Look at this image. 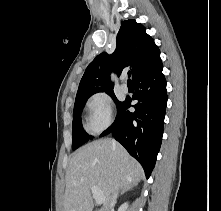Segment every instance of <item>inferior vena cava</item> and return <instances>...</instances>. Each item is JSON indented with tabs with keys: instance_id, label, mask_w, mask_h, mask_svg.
I'll return each instance as SVG.
<instances>
[{
	"instance_id": "inferior-vena-cava-1",
	"label": "inferior vena cava",
	"mask_w": 221,
	"mask_h": 211,
	"mask_svg": "<svg viewBox=\"0 0 221 211\" xmlns=\"http://www.w3.org/2000/svg\"><path fill=\"white\" fill-rule=\"evenodd\" d=\"M113 144L115 145V141H113ZM117 195H118L117 192H114V193L112 194V197H111V206L115 203L116 198H117ZM107 211H109V209H107Z\"/></svg>"
}]
</instances>
